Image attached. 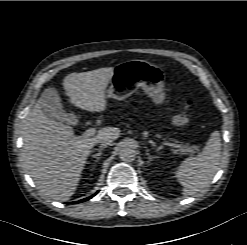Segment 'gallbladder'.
<instances>
[{"label":"gallbladder","mask_w":247,"mask_h":245,"mask_svg":"<svg viewBox=\"0 0 247 245\" xmlns=\"http://www.w3.org/2000/svg\"><path fill=\"white\" fill-rule=\"evenodd\" d=\"M39 104L41 110L50 118L67 122L68 117L72 114L67 113L62 105L61 98L54 88H47L42 93Z\"/></svg>","instance_id":"obj_1"}]
</instances>
